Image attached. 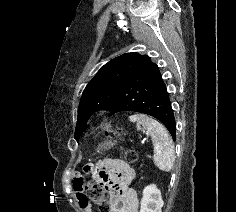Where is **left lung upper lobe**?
Instances as JSON below:
<instances>
[{
  "label": "left lung upper lobe",
  "mask_w": 236,
  "mask_h": 212,
  "mask_svg": "<svg viewBox=\"0 0 236 212\" xmlns=\"http://www.w3.org/2000/svg\"><path fill=\"white\" fill-rule=\"evenodd\" d=\"M144 58L135 52L126 53L106 63L83 91L74 137L78 141L87 128V120L97 110H109L115 98L131 80Z\"/></svg>",
  "instance_id": "obj_1"
}]
</instances>
